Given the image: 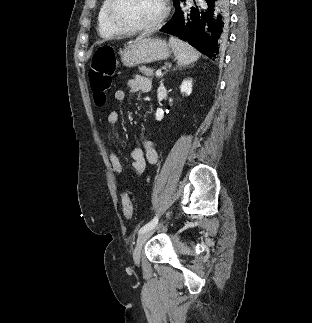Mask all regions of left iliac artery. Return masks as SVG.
<instances>
[{"label": "left iliac artery", "mask_w": 312, "mask_h": 323, "mask_svg": "<svg viewBox=\"0 0 312 323\" xmlns=\"http://www.w3.org/2000/svg\"><path fill=\"white\" fill-rule=\"evenodd\" d=\"M158 223V216L154 217L149 223H147L146 225H144L140 230H139V234L150 230L151 228H153L156 224Z\"/></svg>", "instance_id": "44dca946"}]
</instances>
